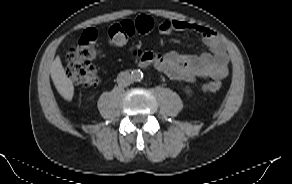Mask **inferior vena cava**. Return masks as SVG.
Masks as SVG:
<instances>
[{"instance_id": "1", "label": "inferior vena cava", "mask_w": 292, "mask_h": 184, "mask_svg": "<svg viewBox=\"0 0 292 184\" xmlns=\"http://www.w3.org/2000/svg\"><path fill=\"white\" fill-rule=\"evenodd\" d=\"M132 82L131 74L128 71L120 72L117 76V83L121 87H126Z\"/></svg>"}]
</instances>
